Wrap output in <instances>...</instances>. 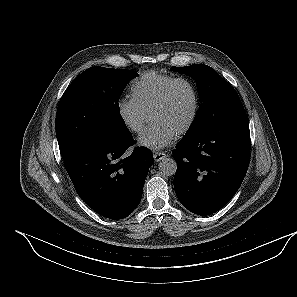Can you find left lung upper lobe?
<instances>
[{
    "label": "left lung upper lobe",
    "mask_w": 297,
    "mask_h": 297,
    "mask_svg": "<svg viewBox=\"0 0 297 297\" xmlns=\"http://www.w3.org/2000/svg\"><path fill=\"white\" fill-rule=\"evenodd\" d=\"M171 70L192 77L199 92L201 105L186 136L237 114L245 113L235 89L210 66L195 64L172 67Z\"/></svg>",
    "instance_id": "obj_1"
}]
</instances>
